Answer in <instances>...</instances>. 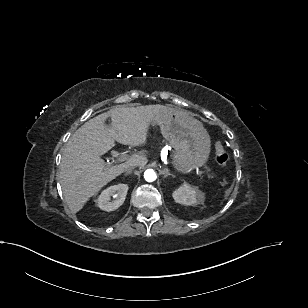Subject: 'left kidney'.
I'll return each instance as SVG.
<instances>
[{"label":"left kidney","instance_id":"obj_1","mask_svg":"<svg viewBox=\"0 0 308 308\" xmlns=\"http://www.w3.org/2000/svg\"><path fill=\"white\" fill-rule=\"evenodd\" d=\"M175 202L183 205H195L203 201V194L184 183L172 194Z\"/></svg>","mask_w":308,"mask_h":308}]
</instances>
